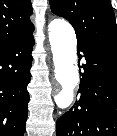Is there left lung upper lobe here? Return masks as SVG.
Here are the masks:
<instances>
[{"label": "left lung upper lobe", "instance_id": "obj_1", "mask_svg": "<svg viewBox=\"0 0 117 136\" xmlns=\"http://www.w3.org/2000/svg\"><path fill=\"white\" fill-rule=\"evenodd\" d=\"M51 11L67 19L77 41L117 50V28L110 0H49Z\"/></svg>", "mask_w": 117, "mask_h": 136}]
</instances>
